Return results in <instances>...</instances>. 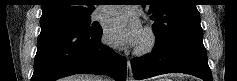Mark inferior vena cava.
Returning a JSON list of instances; mask_svg holds the SVG:
<instances>
[{"instance_id": "inferior-vena-cava-1", "label": "inferior vena cava", "mask_w": 237, "mask_h": 81, "mask_svg": "<svg viewBox=\"0 0 237 81\" xmlns=\"http://www.w3.org/2000/svg\"><path fill=\"white\" fill-rule=\"evenodd\" d=\"M105 81H107V77H103Z\"/></svg>"}]
</instances>
